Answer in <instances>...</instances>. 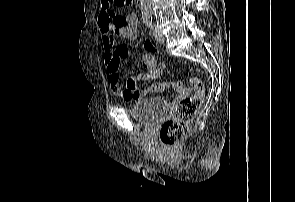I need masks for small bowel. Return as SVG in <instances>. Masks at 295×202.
<instances>
[{
  "label": "small bowel",
  "mask_w": 295,
  "mask_h": 202,
  "mask_svg": "<svg viewBox=\"0 0 295 202\" xmlns=\"http://www.w3.org/2000/svg\"><path fill=\"white\" fill-rule=\"evenodd\" d=\"M138 18L135 13L128 15H118L110 5V0H101L98 25L103 41L104 58L106 63V76L111 91L126 101H138L145 96L152 94L155 90H145L136 88V90L123 89L120 85V60L129 54L128 46L120 44L115 46L117 38H124L133 41L137 37ZM146 50H152L154 47L150 41L144 43ZM143 56H146L143 55ZM158 74H149V71L140 73L138 80L158 79ZM181 98H190V89H181ZM181 98H172L170 107H179Z\"/></svg>",
  "instance_id": "1"
}]
</instances>
